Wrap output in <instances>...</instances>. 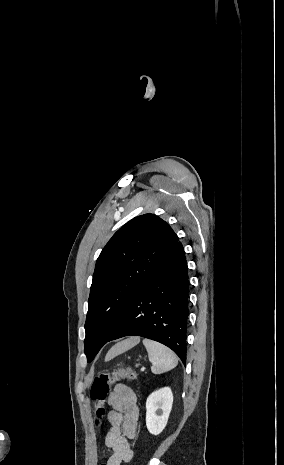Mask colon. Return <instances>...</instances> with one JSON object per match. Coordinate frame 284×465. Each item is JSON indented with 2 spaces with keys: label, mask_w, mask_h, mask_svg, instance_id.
Masks as SVG:
<instances>
[{
  "label": "colon",
  "mask_w": 284,
  "mask_h": 465,
  "mask_svg": "<svg viewBox=\"0 0 284 465\" xmlns=\"http://www.w3.org/2000/svg\"><path fill=\"white\" fill-rule=\"evenodd\" d=\"M135 376L136 374L130 368L115 370L111 373L98 374L92 381L89 390L91 400L98 404L97 411H104V405L107 401L111 384L126 378H134Z\"/></svg>",
  "instance_id": "colon-1"
}]
</instances>
